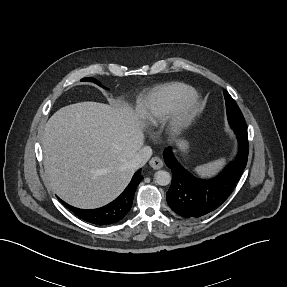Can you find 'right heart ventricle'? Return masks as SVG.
<instances>
[{
  "mask_svg": "<svg viewBox=\"0 0 287 287\" xmlns=\"http://www.w3.org/2000/svg\"><path fill=\"white\" fill-rule=\"evenodd\" d=\"M190 90L189 86L182 83H168L156 87L148 96L143 121L148 125L159 124L175 103Z\"/></svg>",
  "mask_w": 287,
  "mask_h": 287,
  "instance_id": "right-heart-ventricle-1",
  "label": "right heart ventricle"
}]
</instances>
